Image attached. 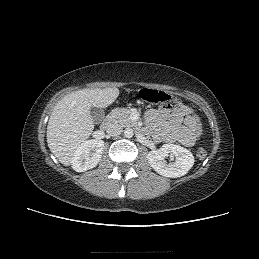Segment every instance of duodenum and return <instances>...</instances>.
Here are the masks:
<instances>
[{"label": "duodenum", "instance_id": "1", "mask_svg": "<svg viewBox=\"0 0 259 259\" xmlns=\"http://www.w3.org/2000/svg\"><path fill=\"white\" fill-rule=\"evenodd\" d=\"M112 122H113L112 117L107 116L101 124V130H103V131L108 130L111 127Z\"/></svg>", "mask_w": 259, "mask_h": 259}]
</instances>
